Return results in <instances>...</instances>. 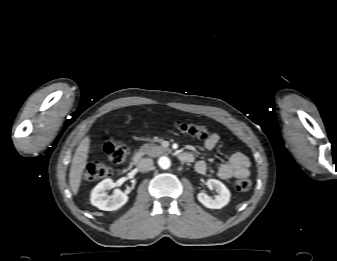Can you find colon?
Returning <instances> with one entry per match:
<instances>
[{
	"instance_id": "5ec220e1",
	"label": "colon",
	"mask_w": 337,
	"mask_h": 261,
	"mask_svg": "<svg viewBox=\"0 0 337 261\" xmlns=\"http://www.w3.org/2000/svg\"><path fill=\"white\" fill-rule=\"evenodd\" d=\"M177 128L183 134L200 140H206L210 135L205 126L194 123H179ZM104 153L110 163L120 164L126 159L127 149L122 143H107L104 146ZM112 174L113 170L109 166L98 161H92L85 168L84 178L89 181H95L107 178ZM234 187L237 191L246 192L251 188V181L248 178H240L235 181Z\"/></svg>"
}]
</instances>
